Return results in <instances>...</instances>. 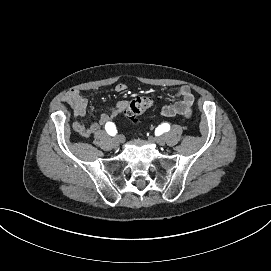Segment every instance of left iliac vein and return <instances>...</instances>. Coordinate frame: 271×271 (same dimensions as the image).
<instances>
[{
	"instance_id": "obj_1",
	"label": "left iliac vein",
	"mask_w": 271,
	"mask_h": 271,
	"mask_svg": "<svg viewBox=\"0 0 271 271\" xmlns=\"http://www.w3.org/2000/svg\"><path fill=\"white\" fill-rule=\"evenodd\" d=\"M150 142L157 143L160 146H164L166 143L165 136L150 137Z\"/></svg>"
}]
</instances>
